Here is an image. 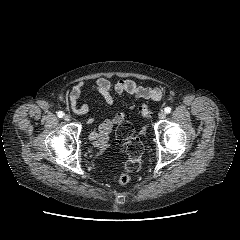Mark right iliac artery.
Masks as SVG:
<instances>
[{"label":"right iliac artery","mask_w":240,"mask_h":240,"mask_svg":"<svg viewBox=\"0 0 240 240\" xmlns=\"http://www.w3.org/2000/svg\"><path fill=\"white\" fill-rule=\"evenodd\" d=\"M57 116L59 118H62L64 116V113L62 111L57 112Z\"/></svg>","instance_id":"right-iliac-artery-1"}]
</instances>
